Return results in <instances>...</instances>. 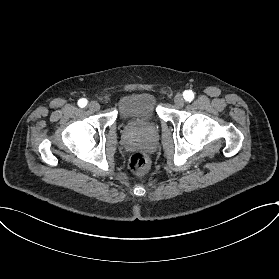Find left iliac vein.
Listing matches in <instances>:
<instances>
[{
	"label": "left iliac vein",
	"instance_id": "left-iliac-vein-1",
	"mask_svg": "<svg viewBox=\"0 0 279 279\" xmlns=\"http://www.w3.org/2000/svg\"><path fill=\"white\" fill-rule=\"evenodd\" d=\"M174 103L176 106L178 107H183L184 106V103H185V100L183 98V95L182 94H177L175 97H174Z\"/></svg>",
	"mask_w": 279,
	"mask_h": 279
}]
</instances>
